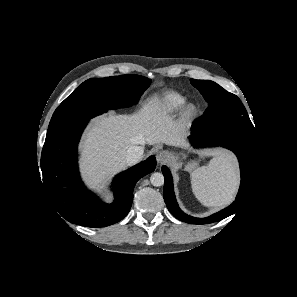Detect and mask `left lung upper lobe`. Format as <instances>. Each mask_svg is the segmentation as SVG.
Masks as SVG:
<instances>
[{
	"label": "left lung upper lobe",
	"instance_id": "left-lung-upper-lobe-1",
	"mask_svg": "<svg viewBox=\"0 0 297 297\" xmlns=\"http://www.w3.org/2000/svg\"><path fill=\"white\" fill-rule=\"evenodd\" d=\"M208 102L204 115L194 122L200 130L207 131L218 128H230L256 136L255 128L240 99L209 80L191 79Z\"/></svg>",
	"mask_w": 297,
	"mask_h": 297
}]
</instances>
